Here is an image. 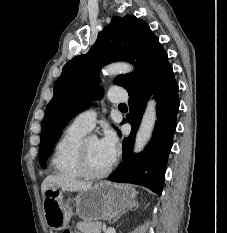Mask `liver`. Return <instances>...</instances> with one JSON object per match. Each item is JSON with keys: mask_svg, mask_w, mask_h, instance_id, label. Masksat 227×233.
I'll list each match as a JSON object with an SVG mask.
<instances>
[{"mask_svg": "<svg viewBox=\"0 0 227 233\" xmlns=\"http://www.w3.org/2000/svg\"><path fill=\"white\" fill-rule=\"evenodd\" d=\"M92 182H84L67 178L63 175H48L41 184L43 200L48 188L57 187L70 192H80L92 187Z\"/></svg>", "mask_w": 227, "mask_h": 233, "instance_id": "liver-1", "label": "liver"}]
</instances>
